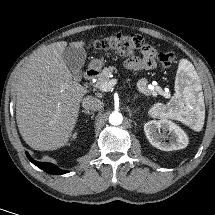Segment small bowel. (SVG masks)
Returning <instances> with one entry per match:
<instances>
[{"label": "small bowel", "instance_id": "obj_1", "mask_svg": "<svg viewBox=\"0 0 215 215\" xmlns=\"http://www.w3.org/2000/svg\"><path fill=\"white\" fill-rule=\"evenodd\" d=\"M156 52L153 47L147 45L142 50L141 57H132L125 61V66L133 71L151 70L156 66Z\"/></svg>", "mask_w": 215, "mask_h": 215}]
</instances>
